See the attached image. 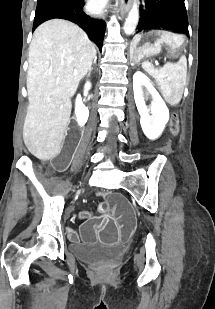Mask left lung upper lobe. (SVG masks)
Masks as SVG:
<instances>
[{
  "label": "left lung upper lobe",
  "instance_id": "left-lung-upper-lobe-1",
  "mask_svg": "<svg viewBox=\"0 0 215 309\" xmlns=\"http://www.w3.org/2000/svg\"><path fill=\"white\" fill-rule=\"evenodd\" d=\"M152 28L174 29L189 36L184 0H145L138 31Z\"/></svg>",
  "mask_w": 215,
  "mask_h": 309
}]
</instances>
